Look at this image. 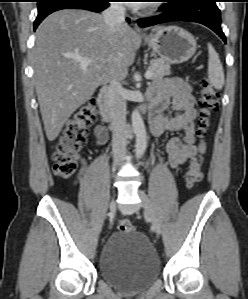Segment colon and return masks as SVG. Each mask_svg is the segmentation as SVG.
<instances>
[{"label":"colon","mask_w":248,"mask_h":299,"mask_svg":"<svg viewBox=\"0 0 248 299\" xmlns=\"http://www.w3.org/2000/svg\"><path fill=\"white\" fill-rule=\"evenodd\" d=\"M198 106L200 119L197 134L202 137L209 125L211 114L217 111L219 107L218 93L206 78L202 80L200 85ZM95 114V102L90 100L81 105L65 123L52 153L53 168L58 177L67 180L75 175L78 167V153L86 139L87 127L94 120ZM202 166L203 158L200 155L193 156L185 173V183L188 188H193L202 180ZM118 229L121 232H131L134 227L130 220L121 219L118 223Z\"/></svg>","instance_id":"1"}]
</instances>
